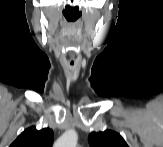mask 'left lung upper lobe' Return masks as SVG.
I'll use <instances>...</instances> for the list:
<instances>
[{
    "mask_svg": "<svg viewBox=\"0 0 163 147\" xmlns=\"http://www.w3.org/2000/svg\"><path fill=\"white\" fill-rule=\"evenodd\" d=\"M88 140L91 147H128L122 136L111 130L92 132Z\"/></svg>",
    "mask_w": 163,
    "mask_h": 147,
    "instance_id": "left-lung-upper-lobe-1",
    "label": "left lung upper lobe"
}]
</instances>
